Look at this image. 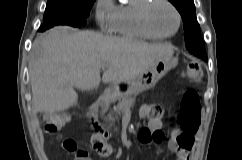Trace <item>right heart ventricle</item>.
Wrapping results in <instances>:
<instances>
[{
  "mask_svg": "<svg viewBox=\"0 0 242 160\" xmlns=\"http://www.w3.org/2000/svg\"><path fill=\"white\" fill-rule=\"evenodd\" d=\"M144 2L145 0H129L127 4L117 6L112 32L128 39H158L147 34L138 22V9Z\"/></svg>",
  "mask_w": 242,
  "mask_h": 160,
  "instance_id": "right-heart-ventricle-1",
  "label": "right heart ventricle"
}]
</instances>
